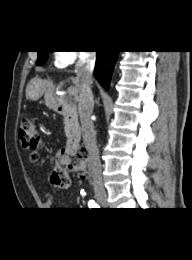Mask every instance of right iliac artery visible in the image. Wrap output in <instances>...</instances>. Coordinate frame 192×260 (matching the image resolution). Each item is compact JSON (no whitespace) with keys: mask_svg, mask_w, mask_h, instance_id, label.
Returning <instances> with one entry per match:
<instances>
[{"mask_svg":"<svg viewBox=\"0 0 192 260\" xmlns=\"http://www.w3.org/2000/svg\"><path fill=\"white\" fill-rule=\"evenodd\" d=\"M88 206H89V208H91V209H98V208H99V205H98L94 200H90V201L88 202Z\"/></svg>","mask_w":192,"mask_h":260,"instance_id":"82829eb1","label":"right iliac artery"}]
</instances>
